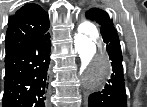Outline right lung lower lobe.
I'll return each instance as SVG.
<instances>
[{
    "label": "right lung lower lobe",
    "instance_id": "1",
    "mask_svg": "<svg viewBox=\"0 0 147 107\" xmlns=\"http://www.w3.org/2000/svg\"><path fill=\"white\" fill-rule=\"evenodd\" d=\"M50 50L46 33L6 56L3 107H45Z\"/></svg>",
    "mask_w": 147,
    "mask_h": 107
}]
</instances>
